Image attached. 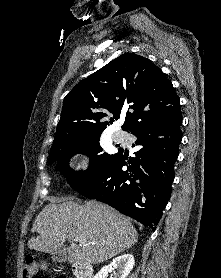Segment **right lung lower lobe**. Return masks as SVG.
Returning <instances> with one entry per match:
<instances>
[{
    "label": "right lung lower lobe",
    "instance_id": "obj_1",
    "mask_svg": "<svg viewBox=\"0 0 221 278\" xmlns=\"http://www.w3.org/2000/svg\"><path fill=\"white\" fill-rule=\"evenodd\" d=\"M181 125L179 112L134 128L129 133L137 137L135 157L127 159L118 152L104 171L77 192L155 230L171 195ZM123 166L127 170L123 171Z\"/></svg>",
    "mask_w": 221,
    "mask_h": 278
}]
</instances>
